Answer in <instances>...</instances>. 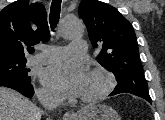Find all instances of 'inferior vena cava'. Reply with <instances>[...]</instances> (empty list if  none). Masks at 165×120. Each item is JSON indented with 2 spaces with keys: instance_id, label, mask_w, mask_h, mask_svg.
Returning <instances> with one entry per match:
<instances>
[{
  "instance_id": "1",
  "label": "inferior vena cava",
  "mask_w": 165,
  "mask_h": 120,
  "mask_svg": "<svg viewBox=\"0 0 165 120\" xmlns=\"http://www.w3.org/2000/svg\"><path fill=\"white\" fill-rule=\"evenodd\" d=\"M37 98L47 111H51L61 103V98L47 92H38Z\"/></svg>"
}]
</instances>
